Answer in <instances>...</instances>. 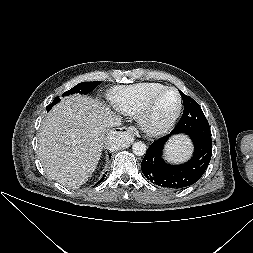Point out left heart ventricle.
Segmentation results:
<instances>
[{
	"mask_svg": "<svg viewBox=\"0 0 253 253\" xmlns=\"http://www.w3.org/2000/svg\"><path fill=\"white\" fill-rule=\"evenodd\" d=\"M178 104V97L174 91H166L154 104L151 112L153 124H160L169 119L175 112Z\"/></svg>",
	"mask_w": 253,
	"mask_h": 253,
	"instance_id": "obj_1",
	"label": "left heart ventricle"
}]
</instances>
